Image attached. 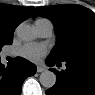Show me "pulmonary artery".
<instances>
[{
    "instance_id": "1",
    "label": "pulmonary artery",
    "mask_w": 95,
    "mask_h": 95,
    "mask_svg": "<svg viewBox=\"0 0 95 95\" xmlns=\"http://www.w3.org/2000/svg\"><path fill=\"white\" fill-rule=\"evenodd\" d=\"M35 29L40 37H49L52 35L53 25L49 20L46 19L37 20L35 22Z\"/></svg>"
}]
</instances>
